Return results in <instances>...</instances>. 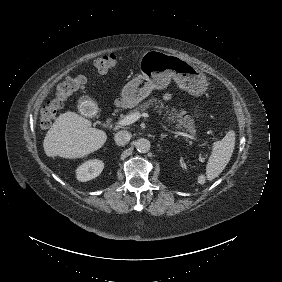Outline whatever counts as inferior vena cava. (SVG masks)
<instances>
[{
	"label": "inferior vena cava",
	"instance_id": "inferior-vena-cava-1",
	"mask_svg": "<svg viewBox=\"0 0 282 282\" xmlns=\"http://www.w3.org/2000/svg\"><path fill=\"white\" fill-rule=\"evenodd\" d=\"M130 138H131V134L128 131L121 130L115 134L114 140L117 145L123 146L130 141Z\"/></svg>",
	"mask_w": 282,
	"mask_h": 282
}]
</instances>
